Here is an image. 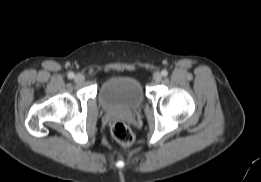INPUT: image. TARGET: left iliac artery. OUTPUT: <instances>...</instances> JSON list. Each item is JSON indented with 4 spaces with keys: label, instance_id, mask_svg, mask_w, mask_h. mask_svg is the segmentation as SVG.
Returning a JSON list of instances; mask_svg holds the SVG:
<instances>
[{
    "label": "left iliac artery",
    "instance_id": "1",
    "mask_svg": "<svg viewBox=\"0 0 261 182\" xmlns=\"http://www.w3.org/2000/svg\"><path fill=\"white\" fill-rule=\"evenodd\" d=\"M161 74L162 76L166 77L168 75V72L166 70H162Z\"/></svg>",
    "mask_w": 261,
    "mask_h": 182
}]
</instances>
